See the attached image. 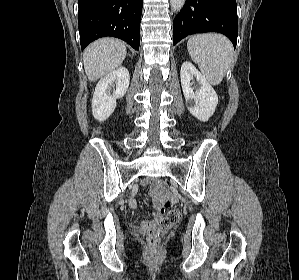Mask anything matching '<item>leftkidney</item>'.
<instances>
[{"label": "left kidney", "mask_w": 299, "mask_h": 280, "mask_svg": "<svg viewBox=\"0 0 299 280\" xmlns=\"http://www.w3.org/2000/svg\"><path fill=\"white\" fill-rule=\"evenodd\" d=\"M180 76L188 110L200 121H208L214 114L218 104L216 92L205 77L189 61L182 64ZM193 78L198 82V89L196 91H194L190 83Z\"/></svg>", "instance_id": "5707ae66"}]
</instances>
